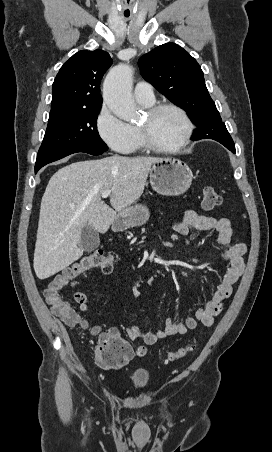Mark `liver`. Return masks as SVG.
<instances>
[{
	"label": "liver",
	"mask_w": 272,
	"mask_h": 452,
	"mask_svg": "<svg viewBox=\"0 0 272 452\" xmlns=\"http://www.w3.org/2000/svg\"><path fill=\"white\" fill-rule=\"evenodd\" d=\"M157 157L110 156L74 162L49 180L41 200L33 266L39 279L64 270L83 254L82 228L105 233L117 213L142 195ZM111 190L110 208L101 194Z\"/></svg>",
	"instance_id": "obj_1"
}]
</instances>
